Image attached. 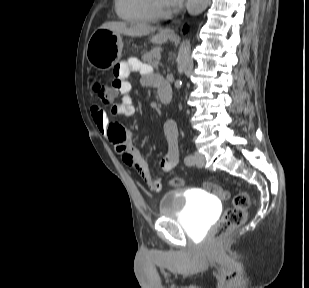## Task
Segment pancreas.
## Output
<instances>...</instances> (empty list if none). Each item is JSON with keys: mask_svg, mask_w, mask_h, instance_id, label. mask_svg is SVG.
<instances>
[{"mask_svg": "<svg viewBox=\"0 0 309 288\" xmlns=\"http://www.w3.org/2000/svg\"><path fill=\"white\" fill-rule=\"evenodd\" d=\"M160 52H161V48L156 47V48L152 49L151 51L146 52L142 56V60L144 62L154 64V63L158 62V60L160 58Z\"/></svg>", "mask_w": 309, "mask_h": 288, "instance_id": "pancreas-1", "label": "pancreas"}]
</instances>
